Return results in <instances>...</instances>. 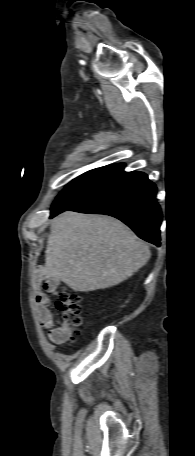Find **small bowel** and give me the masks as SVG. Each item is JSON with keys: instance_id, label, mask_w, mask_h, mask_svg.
<instances>
[{"instance_id": "1", "label": "small bowel", "mask_w": 195, "mask_h": 456, "mask_svg": "<svg viewBox=\"0 0 195 456\" xmlns=\"http://www.w3.org/2000/svg\"><path fill=\"white\" fill-rule=\"evenodd\" d=\"M57 281L51 277H45L35 281L33 293L36 301V312L40 323L48 329V336L54 343L60 344L69 339L70 331L65 327H56L52 312L49 309L48 293H55Z\"/></svg>"}]
</instances>
